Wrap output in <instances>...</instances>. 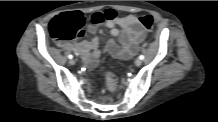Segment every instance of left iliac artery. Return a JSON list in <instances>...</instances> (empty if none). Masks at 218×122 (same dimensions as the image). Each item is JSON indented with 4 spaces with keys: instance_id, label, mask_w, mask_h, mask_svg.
Returning a JSON list of instances; mask_svg holds the SVG:
<instances>
[{
    "instance_id": "obj_1",
    "label": "left iliac artery",
    "mask_w": 218,
    "mask_h": 122,
    "mask_svg": "<svg viewBox=\"0 0 218 122\" xmlns=\"http://www.w3.org/2000/svg\"><path fill=\"white\" fill-rule=\"evenodd\" d=\"M139 58H140L141 60H143V59H144V55H140Z\"/></svg>"
}]
</instances>
